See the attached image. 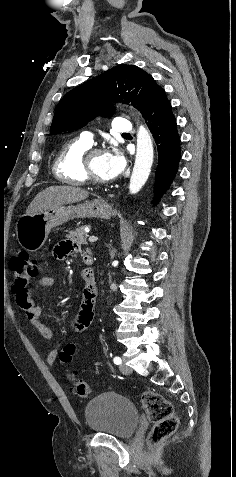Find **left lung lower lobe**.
<instances>
[{"mask_svg":"<svg viewBox=\"0 0 236 477\" xmlns=\"http://www.w3.org/2000/svg\"><path fill=\"white\" fill-rule=\"evenodd\" d=\"M145 122L153 134L158 150V167L155 172L156 202L174 179L181 157L180 137L172 114L171 104L162 88L145 115Z\"/></svg>","mask_w":236,"mask_h":477,"instance_id":"0a47b994","label":"left lung lower lobe"}]
</instances>
